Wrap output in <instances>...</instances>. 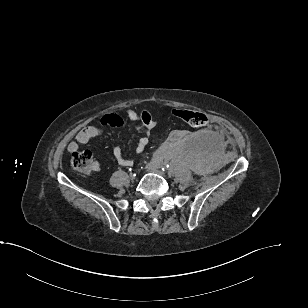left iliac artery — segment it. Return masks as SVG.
Masks as SVG:
<instances>
[{
  "mask_svg": "<svg viewBox=\"0 0 308 308\" xmlns=\"http://www.w3.org/2000/svg\"><path fill=\"white\" fill-rule=\"evenodd\" d=\"M169 169H170V165H168V164L167 165L165 164L164 166H162L163 171H166V170H169Z\"/></svg>",
  "mask_w": 308,
  "mask_h": 308,
  "instance_id": "44dca946",
  "label": "left iliac artery"
}]
</instances>
